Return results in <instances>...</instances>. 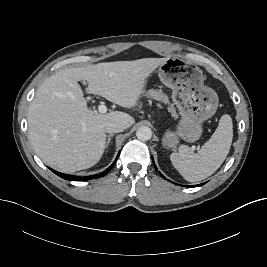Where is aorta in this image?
<instances>
[{
  "mask_svg": "<svg viewBox=\"0 0 267 267\" xmlns=\"http://www.w3.org/2000/svg\"><path fill=\"white\" fill-rule=\"evenodd\" d=\"M136 136L141 141H148L152 137V131L147 126H140L136 131Z\"/></svg>",
  "mask_w": 267,
  "mask_h": 267,
  "instance_id": "1",
  "label": "aorta"
}]
</instances>
